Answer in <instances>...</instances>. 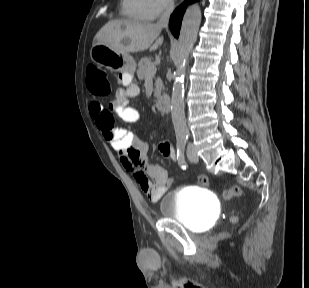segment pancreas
<instances>
[{"mask_svg": "<svg viewBox=\"0 0 309 288\" xmlns=\"http://www.w3.org/2000/svg\"><path fill=\"white\" fill-rule=\"evenodd\" d=\"M152 66H153V63L150 58L148 57L141 58L138 63V70H137L138 79L139 80L145 79V77L147 76L148 69ZM155 86L156 88L154 91V96L158 98L161 95V90L163 87L162 81L159 78L156 79Z\"/></svg>", "mask_w": 309, "mask_h": 288, "instance_id": "pancreas-1", "label": "pancreas"}]
</instances>
